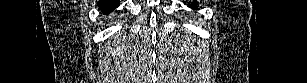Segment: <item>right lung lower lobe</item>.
Segmentation results:
<instances>
[{
  "instance_id": "98d812e1",
  "label": "right lung lower lobe",
  "mask_w": 307,
  "mask_h": 83,
  "mask_svg": "<svg viewBox=\"0 0 307 83\" xmlns=\"http://www.w3.org/2000/svg\"><path fill=\"white\" fill-rule=\"evenodd\" d=\"M120 4L119 0H100L98 2V6L100 8V10L104 13V14H109L110 12H113V10L118 7Z\"/></svg>"
}]
</instances>
